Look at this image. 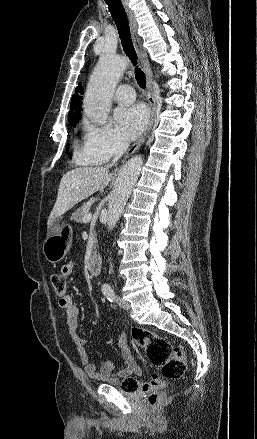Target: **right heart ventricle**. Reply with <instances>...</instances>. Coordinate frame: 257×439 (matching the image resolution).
Here are the masks:
<instances>
[{
    "instance_id": "1",
    "label": "right heart ventricle",
    "mask_w": 257,
    "mask_h": 439,
    "mask_svg": "<svg viewBox=\"0 0 257 439\" xmlns=\"http://www.w3.org/2000/svg\"><path fill=\"white\" fill-rule=\"evenodd\" d=\"M85 163H88V164H96V163H94V162H85Z\"/></svg>"
}]
</instances>
